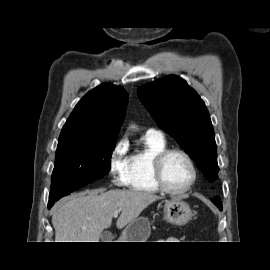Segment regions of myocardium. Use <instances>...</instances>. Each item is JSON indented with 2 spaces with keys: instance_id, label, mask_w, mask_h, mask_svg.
Instances as JSON below:
<instances>
[{
  "instance_id": "f54148a6",
  "label": "myocardium",
  "mask_w": 270,
  "mask_h": 270,
  "mask_svg": "<svg viewBox=\"0 0 270 270\" xmlns=\"http://www.w3.org/2000/svg\"><path fill=\"white\" fill-rule=\"evenodd\" d=\"M174 153L182 155L189 163V166L192 171L191 181L185 187L181 189H173L169 187L166 184L164 180V176H163L164 161L169 155L174 154ZM151 173H152L153 180L155 184L158 186V188L166 193L173 194V195H181L191 190L192 187L195 185L197 181V176H198L197 167L193 158L187 151L181 148H166L160 151L159 153H157L152 159Z\"/></svg>"
}]
</instances>
